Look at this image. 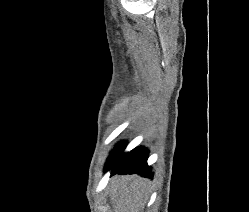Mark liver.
Segmentation results:
<instances>
[{
    "instance_id": "liver-1",
    "label": "liver",
    "mask_w": 249,
    "mask_h": 212,
    "mask_svg": "<svg viewBox=\"0 0 249 212\" xmlns=\"http://www.w3.org/2000/svg\"><path fill=\"white\" fill-rule=\"evenodd\" d=\"M147 182L141 176H114L110 188L114 212H142L147 200Z\"/></svg>"
}]
</instances>
